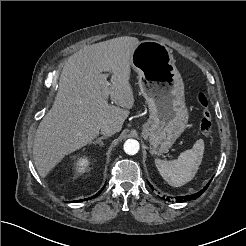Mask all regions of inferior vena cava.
<instances>
[{"instance_id": "inferior-vena-cava-1", "label": "inferior vena cava", "mask_w": 246, "mask_h": 246, "mask_svg": "<svg viewBox=\"0 0 246 246\" xmlns=\"http://www.w3.org/2000/svg\"><path fill=\"white\" fill-rule=\"evenodd\" d=\"M116 132V128L110 124H105L101 128V134H103L104 136H112Z\"/></svg>"}]
</instances>
